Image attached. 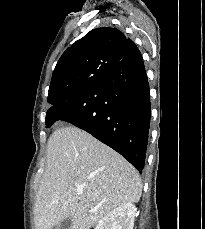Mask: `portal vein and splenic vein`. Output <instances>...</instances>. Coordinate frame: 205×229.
Returning <instances> with one entry per match:
<instances>
[{
	"mask_svg": "<svg viewBox=\"0 0 205 229\" xmlns=\"http://www.w3.org/2000/svg\"><path fill=\"white\" fill-rule=\"evenodd\" d=\"M77 194H78V195H81V194H82V190H78V191H77Z\"/></svg>",
	"mask_w": 205,
	"mask_h": 229,
	"instance_id": "portal-vein-and-splenic-vein-1",
	"label": "portal vein and splenic vein"
}]
</instances>
